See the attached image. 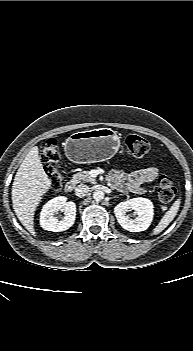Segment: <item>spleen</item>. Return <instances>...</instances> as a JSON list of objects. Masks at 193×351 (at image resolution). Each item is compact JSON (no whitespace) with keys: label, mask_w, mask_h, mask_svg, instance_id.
Listing matches in <instances>:
<instances>
[{"label":"spleen","mask_w":193,"mask_h":351,"mask_svg":"<svg viewBox=\"0 0 193 351\" xmlns=\"http://www.w3.org/2000/svg\"><path fill=\"white\" fill-rule=\"evenodd\" d=\"M180 207V199H177L170 209L164 214L158 225L153 229L152 235L161 233L175 218Z\"/></svg>","instance_id":"obj_1"}]
</instances>
